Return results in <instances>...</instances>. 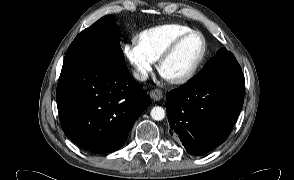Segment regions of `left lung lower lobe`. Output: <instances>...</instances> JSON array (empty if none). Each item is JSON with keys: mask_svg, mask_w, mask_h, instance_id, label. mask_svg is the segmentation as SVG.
Instances as JSON below:
<instances>
[{"mask_svg": "<svg viewBox=\"0 0 294 180\" xmlns=\"http://www.w3.org/2000/svg\"><path fill=\"white\" fill-rule=\"evenodd\" d=\"M244 86L242 72H225L171 90L165 104L172 138L191 155L221 145L241 111Z\"/></svg>", "mask_w": 294, "mask_h": 180, "instance_id": "0a47b994", "label": "left lung lower lobe"}]
</instances>
